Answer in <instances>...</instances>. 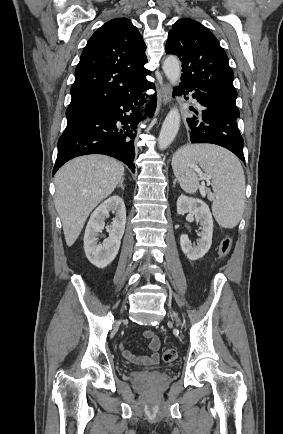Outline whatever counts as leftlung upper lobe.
I'll use <instances>...</instances> for the list:
<instances>
[{
    "mask_svg": "<svg viewBox=\"0 0 283 434\" xmlns=\"http://www.w3.org/2000/svg\"><path fill=\"white\" fill-rule=\"evenodd\" d=\"M166 53L182 61V82L236 105L228 57L205 26L188 18L176 21L168 34Z\"/></svg>",
    "mask_w": 283,
    "mask_h": 434,
    "instance_id": "obj_1",
    "label": "left lung upper lobe"
}]
</instances>
